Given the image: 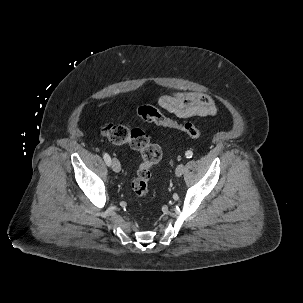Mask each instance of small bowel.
I'll return each instance as SVG.
<instances>
[{
  "mask_svg": "<svg viewBox=\"0 0 303 303\" xmlns=\"http://www.w3.org/2000/svg\"><path fill=\"white\" fill-rule=\"evenodd\" d=\"M159 104L179 118L213 116L218 113V107L211 97L193 91H177L163 95Z\"/></svg>",
  "mask_w": 303,
  "mask_h": 303,
  "instance_id": "obj_1",
  "label": "small bowel"
}]
</instances>
